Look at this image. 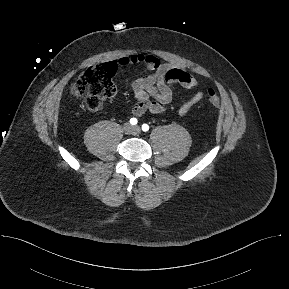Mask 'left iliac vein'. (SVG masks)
Masks as SVG:
<instances>
[{"instance_id":"left-iliac-vein-1","label":"left iliac vein","mask_w":289,"mask_h":289,"mask_svg":"<svg viewBox=\"0 0 289 289\" xmlns=\"http://www.w3.org/2000/svg\"><path fill=\"white\" fill-rule=\"evenodd\" d=\"M133 129H134L135 133H139L140 132V127L139 126H135Z\"/></svg>"}]
</instances>
